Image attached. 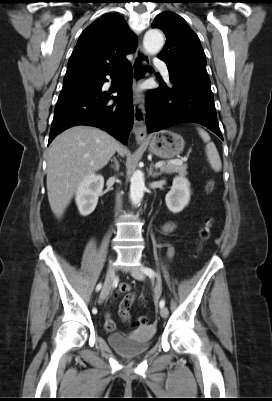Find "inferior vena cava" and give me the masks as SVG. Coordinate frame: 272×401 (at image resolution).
<instances>
[{
	"mask_svg": "<svg viewBox=\"0 0 272 401\" xmlns=\"http://www.w3.org/2000/svg\"><path fill=\"white\" fill-rule=\"evenodd\" d=\"M120 204H121V200H120V196H118V198H117V206L120 207Z\"/></svg>",
	"mask_w": 272,
	"mask_h": 401,
	"instance_id": "602c4592",
	"label": "inferior vena cava"
}]
</instances>
